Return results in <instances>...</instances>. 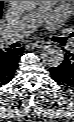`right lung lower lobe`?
I'll list each match as a JSON object with an SVG mask.
<instances>
[{
	"label": "right lung lower lobe",
	"mask_w": 74,
	"mask_h": 122,
	"mask_svg": "<svg viewBox=\"0 0 74 122\" xmlns=\"http://www.w3.org/2000/svg\"><path fill=\"white\" fill-rule=\"evenodd\" d=\"M22 52L23 48L0 49V87L12 80Z\"/></svg>",
	"instance_id": "1"
}]
</instances>
